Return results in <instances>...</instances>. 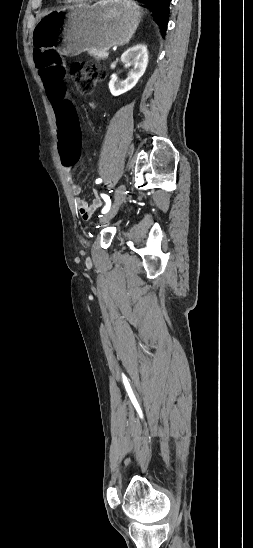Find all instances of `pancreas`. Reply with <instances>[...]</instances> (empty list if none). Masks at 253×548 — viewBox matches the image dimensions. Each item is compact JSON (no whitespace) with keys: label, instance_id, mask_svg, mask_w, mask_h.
<instances>
[{"label":"pancreas","instance_id":"obj_1","mask_svg":"<svg viewBox=\"0 0 253 548\" xmlns=\"http://www.w3.org/2000/svg\"><path fill=\"white\" fill-rule=\"evenodd\" d=\"M88 53L96 59H106L108 57V51L106 49L90 48Z\"/></svg>","mask_w":253,"mask_h":548}]
</instances>
